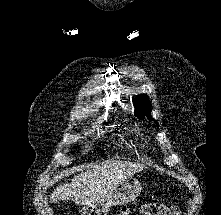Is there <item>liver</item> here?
<instances>
[{
	"instance_id": "obj_1",
	"label": "liver",
	"mask_w": 221,
	"mask_h": 215,
	"mask_svg": "<svg viewBox=\"0 0 221 215\" xmlns=\"http://www.w3.org/2000/svg\"><path fill=\"white\" fill-rule=\"evenodd\" d=\"M144 166L119 160H106L90 166L76 176L71 184L57 187L50 202L72 200L79 205H91L103 199L123 179L141 172Z\"/></svg>"
}]
</instances>
